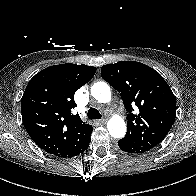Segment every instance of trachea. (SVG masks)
<instances>
[{"label": "trachea", "instance_id": "trachea-1", "mask_svg": "<svg viewBox=\"0 0 196 196\" xmlns=\"http://www.w3.org/2000/svg\"><path fill=\"white\" fill-rule=\"evenodd\" d=\"M87 117L88 119L95 120V119H101L102 115L97 109L91 107L88 110Z\"/></svg>", "mask_w": 196, "mask_h": 196}]
</instances>
